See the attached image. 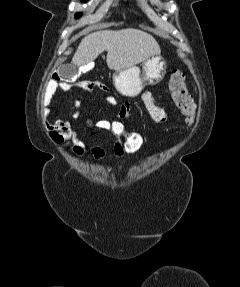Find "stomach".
<instances>
[{
	"mask_svg": "<svg viewBox=\"0 0 240 287\" xmlns=\"http://www.w3.org/2000/svg\"><path fill=\"white\" fill-rule=\"evenodd\" d=\"M166 73V63L160 54L145 60L142 71L132 66L113 74V83L119 93L126 97L137 96L142 89L162 81Z\"/></svg>",
	"mask_w": 240,
	"mask_h": 287,
	"instance_id": "1",
	"label": "stomach"
}]
</instances>
